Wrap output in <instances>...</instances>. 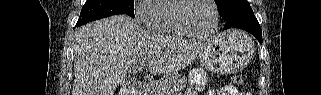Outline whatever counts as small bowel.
Listing matches in <instances>:
<instances>
[{
	"instance_id": "obj_1",
	"label": "small bowel",
	"mask_w": 321,
	"mask_h": 95,
	"mask_svg": "<svg viewBox=\"0 0 321 95\" xmlns=\"http://www.w3.org/2000/svg\"><path fill=\"white\" fill-rule=\"evenodd\" d=\"M191 94L192 93H189V95ZM208 94L209 95H239L237 89L231 85H226L221 88L211 90L208 92Z\"/></svg>"
}]
</instances>
